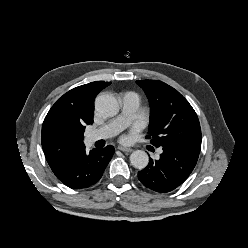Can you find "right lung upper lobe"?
Returning a JSON list of instances; mask_svg holds the SVG:
<instances>
[{
	"label": "right lung upper lobe",
	"mask_w": 248,
	"mask_h": 248,
	"mask_svg": "<svg viewBox=\"0 0 248 248\" xmlns=\"http://www.w3.org/2000/svg\"><path fill=\"white\" fill-rule=\"evenodd\" d=\"M110 84L96 81L73 88L49 110L42 125L41 143L53 172L85 147L84 130L93 123L94 99Z\"/></svg>",
	"instance_id": "right-lung-upper-lobe-1"
}]
</instances>
